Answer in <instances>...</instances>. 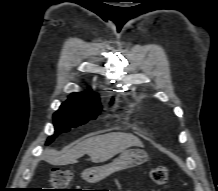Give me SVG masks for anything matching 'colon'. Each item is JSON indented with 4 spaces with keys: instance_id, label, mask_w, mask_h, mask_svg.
Instances as JSON below:
<instances>
[{
    "instance_id": "colon-1",
    "label": "colon",
    "mask_w": 218,
    "mask_h": 191,
    "mask_svg": "<svg viewBox=\"0 0 218 191\" xmlns=\"http://www.w3.org/2000/svg\"><path fill=\"white\" fill-rule=\"evenodd\" d=\"M152 181L157 185H164L169 178V169L165 166L155 167L150 171ZM73 179V173L70 170H55L51 174V191H71L68 186Z\"/></svg>"
}]
</instances>
